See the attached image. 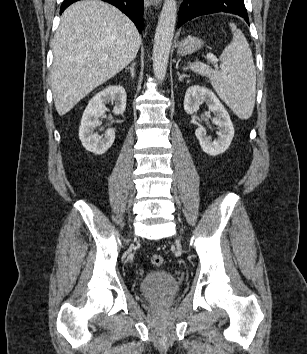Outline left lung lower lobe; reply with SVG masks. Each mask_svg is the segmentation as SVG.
<instances>
[{
    "instance_id": "1",
    "label": "left lung lower lobe",
    "mask_w": 307,
    "mask_h": 354,
    "mask_svg": "<svg viewBox=\"0 0 307 354\" xmlns=\"http://www.w3.org/2000/svg\"><path fill=\"white\" fill-rule=\"evenodd\" d=\"M217 12L241 16L249 24L244 0H184L180 7L178 27L195 17Z\"/></svg>"
}]
</instances>
